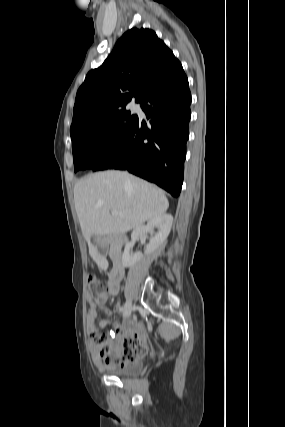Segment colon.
Returning a JSON list of instances; mask_svg holds the SVG:
<instances>
[{
	"label": "colon",
	"mask_w": 285,
	"mask_h": 427,
	"mask_svg": "<svg viewBox=\"0 0 285 427\" xmlns=\"http://www.w3.org/2000/svg\"><path fill=\"white\" fill-rule=\"evenodd\" d=\"M87 287L92 297H97L107 290V284L93 274L88 276ZM92 338L94 343L100 349L101 357L110 361H134L143 355L145 351L141 340L136 335H133L127 340V344L123 347L122 354L119 358L114 353L112 349V340L107 335L98 332L92 335Z\"/></svg>",
	"instance_id": "obj_1"
}]
</instances>
